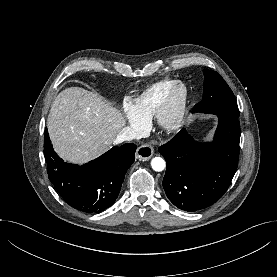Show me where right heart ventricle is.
<instances>
[{
    "instance_id": "right-heart-ventricle-1",
    "label": "right heart ventricle",
    "mask_w": 277,
    "mask_h": 277,
    "mask_svg": "<svg viewBox=\"0 0 277 277\" xmlns=\"http://www.w3.org/2000/svg\"><path fill=\"white\" fill-rule=\"evenodd\" d=\"M175 82V80L166 79L149 86L133 99L131 106L134 112L144 120L150 119L155 114L169 88Z\"/></svg>"
}]
</instances>
